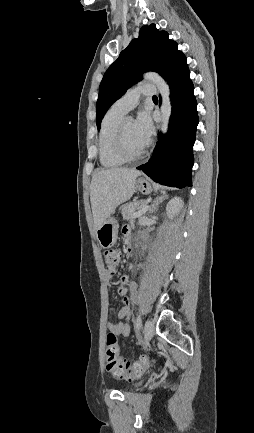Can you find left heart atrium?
<instances>
[{"label":"left heart atrium","mask_w":254,"mask_h":433,"mask_svg":"<svg viewBox=\"0 0 254 433\" xmlns=\"http://www.w3.org/2000/svg\"><path fill=\"white\" fill-rule=\"evenodd\" d=\"M134 123H135V129L139 134V136L144 141L148 142L153 133V124L149 113L146 111L140 112Z\"/></svg>","instance_id":"left-heart-atrium-1"}]
</instances>
